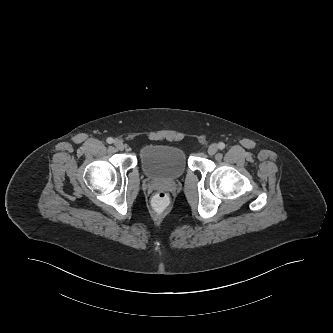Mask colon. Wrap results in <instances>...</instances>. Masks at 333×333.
<instances>
[{"mask_svg":"<svg viewBox=\"0 0 333 333\" xmlns=\"http://www.w3.org/2000/svg\"><path fill=\"white\" fill-rule=\"evenodd\" d=\"M151 206L154 212L163 213L166 211L169 203V195L165 191H157L151 198Z\"/></svg>","mask_w":333,"mask_h":333,"instance_id":"obj_1","label":"colon"}]
</instances>
